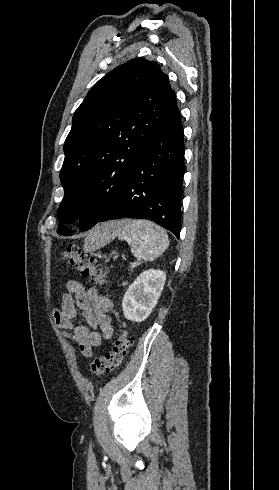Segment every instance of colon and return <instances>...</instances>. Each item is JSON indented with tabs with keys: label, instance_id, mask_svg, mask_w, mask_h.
Listing matches in <instances>:
<instances>
[{
	"label": "colon",
	"instance_id": "1",
	"mask_svg": "<svg viewBox=\"0 0 279 490\" xmlns=\"http://www.w3.org/2000/svg\"><path fill=\"white\" fill-rule=\"evenodd\" d=\"M61 259L74 267L93 285L98 287L107 285V271L102 268L95 258L82 252L77 244H69L62 253ZM132 342L133 336L129 331L119 333L114 340L112 352L105 354L103 357H96L91 360L89 364L90 373L92 375H104L112 369L119 367L129 353Z\"/></svg>",
	"mask_w": 279,
	"mask_h": 490
}]
</instances>
